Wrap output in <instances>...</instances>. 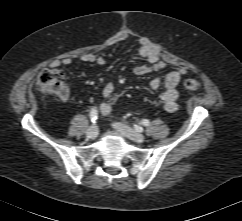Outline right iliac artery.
<instances>
[{"label": "right iliac artery", "instance_id": "1", "mask_svg": "<svg viewBox=\"0 0 242 221\" xmlns=\"http://www.w3.org/2000/svg\"><path fill=\"white\" fill-rule=\"evenodd\" d=\"M90 119L92 123H96L98 119V111L96 108H93L90 112Z\"/></svg>", "mask_w": 242, "mask_h": 221}]
</instances>
